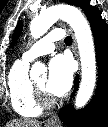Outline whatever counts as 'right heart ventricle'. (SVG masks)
<instances>
[{
	"label": "right heart ventricle",
	"mask_w": 108,
	"mask_h": 127,
	"mask_svg": "<svg viewBox=\"0 0 108 127\" xmlns=\"http://www.w3.org/2000/svg\"><path fill=\"white\" fill-rule=\"evenodd\" d=\"M29 62L16 61L8 74V91L13 110L22 117H37L42 113L33 82L28 75Z\"/></svg>",
	"instance_id": "1"
}]
</instances>
